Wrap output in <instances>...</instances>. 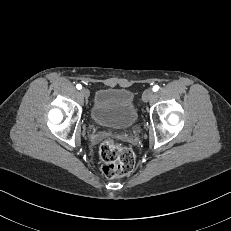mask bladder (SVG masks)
<instances>
[{
    "instance_id": "bladder-1",
    "label": "bladder",
    "mask_w": 231,
    "mask_h": 231,
    "mask_svg": "<svg viewBox=\"0 0 231 231\" xmlns=\"http://www.w3.org/2000/svg\"><path fill=\"white\" fill-rule=\"evenodd\" d=\"M91 119L102 125L129 128L138 119L133 93L126 88H103L96 92Z\"/></svg>"
}]
</instances>
